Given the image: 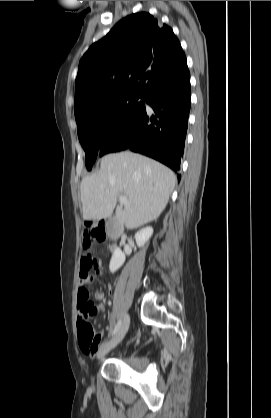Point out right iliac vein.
Segmentation results:
<instances>
[{"mask_svg": "<svg viewBox=\"0 0 271 418\" xmlns=\"http://www.w3.org/2000/svg\"><path fill=\"white\" fill-rule=\"evenodd\" d=\"M129 325H130V317L126 315L124 317V320L118 332L115 334V336L102 345L97 355L98 359H102L109 351L115 348L122 341V339L124 338V336L126 335L128 331Z\"/></svg>", "mask_w": 271, "mask_h": 418, "instance_id": "63e3f726", "label": "right iliac vein"}]
</instances>
